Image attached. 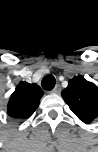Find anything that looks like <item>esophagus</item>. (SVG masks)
I'll return each mask as SVG.
<instances>
[{
    "instance_id": "esophagus-1",
    "label": "esophagus",
    "mask_w": 98,
    "mask_h": 152,
    "mask_svg": "<svg viewBox=\"0 0 98 152\" xmlns=\"http://www.w3.org/2000/svg\"><path fill=\"white\" fill-rule=\"evenodd\" d=\"M61 92V86L60 84H57L54 89L52 90V93L58 94Z\"/></svg>"
}]
</instances>
